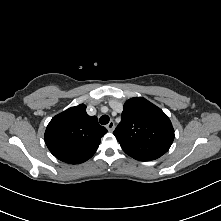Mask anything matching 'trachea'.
<instances>
[{
	"instance_id": "1",
	"label": "trachea",
	"mask_w": 221,
	"mask_h": 221,
	"mask_svg": "<svg viewBox=\"0 0 221 221\" xmlns=\"http://www.w3.org/2000/svg\"><path fill=\"white\" fill-rule=\"evenodd\" d=\"M109 120H110V118H109L108 115H102V116L100 117V119H99V122H100V124H102V125H106V124L109 123Z\"/></svg>"
}]
</instances>
